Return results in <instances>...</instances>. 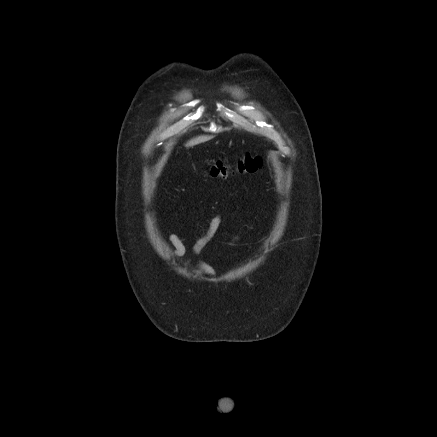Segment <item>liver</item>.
<instances>
[{"label": "liver", "instance_id": "6515ba94", "mask_svg": "<svg viewBox=\"0 0 437 437\" xmlns=\"http://www.w3.org/2000/svg\"><path fill=\"white\" fill-rule=\"evenodd\" d=\"M212 138H213V136H204V135L198 136V137L193 138L190 141H188L185 146L186 147H193V146L198 145L200 143L207 142V141L211 140Z\"/></svg>", "mask_w": 437, "mask_h": 437}]
</instances>
